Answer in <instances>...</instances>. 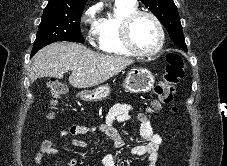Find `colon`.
<instances>
[{
    "label": "colon",
    "instance_id": "colon-1",
    "mask_svg": "<svg viewBox=\"0 0 227 166\" xmlns=\"http://www.w3.org/2000/svg\"><path fill=\"white\" fill-rule=\"evenodd\" d=\"M184 66L181 56L172 52L167 57V65L162 80L154 87L156 100L152 103V109L158 110L162 105L172 104L175 100L176 88L183 77ZM47 87L51 99L56 102L66 92V86L55 79L48 81Z\"/></svg>",
    "mask_w": 227,
    "mask_h": 166
}]
</instances>
